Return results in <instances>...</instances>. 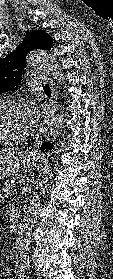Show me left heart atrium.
<instances>
[{
  "label": "left heart atrium",
  "instance_id": "left-heart-atrium-1",
  "mask_svg": "<svg viewBox=\"0 0 113 279\" xmlns=\"http://www.w3.org/2000/svg\"><path fill=\"white\" fill-rule=\"evenodd\" d=\"M26 119L28 127L32 126L36 121V110L34 107L29 106L25 108Z\"/></svg>",
  "mask_w": 113,
  "mask_h": 279
}]
</instances>
